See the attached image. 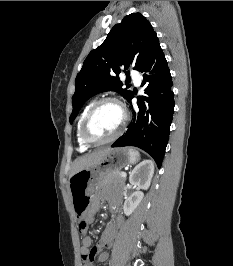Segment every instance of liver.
<instances>
[{
  "label": "liver",
  "instance_id": "obj_1",
  "mask_svg": "<svg viewBox=\"0 0 233 266\" xmlns=\"http://www.w3.org/2000/svg\"><path fill=\"white\" fill-rule=\"evenodd\" d=\"M110 150V148L101 149L78 157L72 165L70 177L83 169H87L98 164Z\"/></svg>",
  "mask_w": 233,
  "mask_h": 266
}]
</instances>
